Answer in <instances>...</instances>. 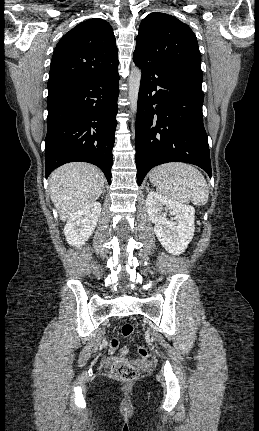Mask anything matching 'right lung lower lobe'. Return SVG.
I'll return each instance as SVG.
<instances>
[{
    "mask_svg": "<svg viewBox=\"0 0 259 431\" xmlns=\"http://www.w3.org/2000/svg\"><path fill=\"white\" fill-rule=\"evenodd\" d=\"M118 71L48 88L45 175L68 162L98 166L111 183Z\"/></svg>",
    "mask_w": 259,
    "mask_h": 431,
    "instance_id": "1",
    "label": "right lung lower lobe"
}]
</instances>
